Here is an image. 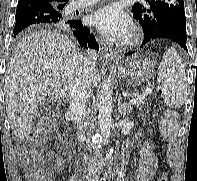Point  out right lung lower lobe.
<instances>
[{"label":"right lung lower lobe","instance_id":"right-lung-lower-lobe-1","mask_svg":"<svg viewBox=\"0 0 197 181\" xmlns=\"http://www.w3.org/2000/svg\"><path fill=\"white\" fill-rule=\"evenodd\" d=\"M65 4H51L45 0H19L14 35L31 25H53L71 31L84 48L98 50L94 35L80 20H66L61 10Z\"/></svg>","mask_w":197,"mask_h":181}]
</instances>
